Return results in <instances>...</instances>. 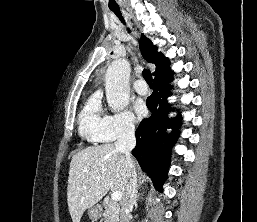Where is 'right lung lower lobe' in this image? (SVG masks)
I'll return each instance as SVG.
<instances>
[{
	"mask_svg": "<svg viewBox=\"0 0 257 222\" xmlns=\"http://www.w3.org/2000/svg\"><path fill=\"white\" fill-rule=\"evenodd\" d=\"M171 80V71L154 78L153 93L147 99V107L152 114L139 124L135 132L136 147L132 150L141 169L151 177L159 191L162 190V185L167 178L170 150L179 134L181 120L179 117L172 123L168 119V113L171 110L167 102L171 89L168 83ZM167 128L173 129L171 135H166ZM164 139L167 145H163Z\"/></svg>",
	"mask_w": 257,
	"mask_h": 222,
	"instance_id": "right-lung-lower-lobe-1",
	"label": "right lung lower lobe"
}]
</instances>
